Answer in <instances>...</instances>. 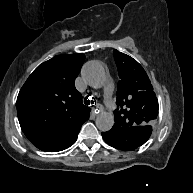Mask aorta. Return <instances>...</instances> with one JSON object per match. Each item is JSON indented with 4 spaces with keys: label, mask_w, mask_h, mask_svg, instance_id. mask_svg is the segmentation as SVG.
I'll list each match as a JSON object with an SVG mask.
<instances>
[{
    "label": "aorta",
    "mask_w": 193,
    "mask_h": 193,
    "mask_svg": "<svg viewBox=\"0 0 193 193\" xmlns=\"http://www.w3.org/2000/svg\"><path fill=\"white\" fill-rule=\"evenodd\" d=\"M82 76L92 88H100L105 82V71L97 61L87 62L82 69ZM95 124L100 131H109L114 125V116L110 112L103 111L97 115Z\"/></svg>",
    "instance_id": "aorta-1"
}]
</instances>
